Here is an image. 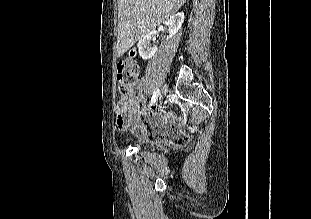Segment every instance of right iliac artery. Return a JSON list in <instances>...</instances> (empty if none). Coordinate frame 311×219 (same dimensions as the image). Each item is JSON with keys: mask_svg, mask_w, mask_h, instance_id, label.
I'll use <instances>...</instances> for the list:
<instances>
[{"mask_svg": "<svg viewBox=\"0 0 311 219\" xmlns=\"http://www.w3.org/2000/svg\"><path fill=\"white\" fill-rule=\"evenodd\" d=\"M159 94H160V91H159V89L157 88V89L154 91V93H153V96H152V98H151V101H150V105H149V106H152V105L156 102V100H157Z\"/></svg>", "mask_w": 311, "mask_h": 219, "instance_id": "obj_1", "label": "right iliac artery"}]
</instances>
